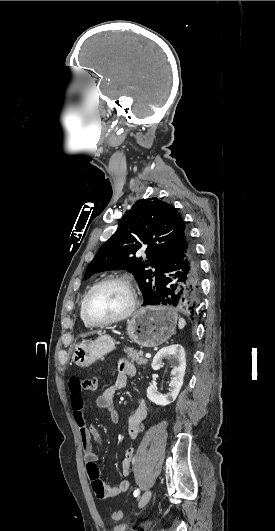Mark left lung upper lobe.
I'll list each match as a JSON object with an SVG mask.
<instances>
[{
  "label": "left lung upper lobe",
  "mask_w": 275,
  "mask_h": 531,
  "mask_svg": "<svg viewBox=\"0 0 275 531\" xmlns=\"http://www.w3.org/2000/svg\"><path fill=\"white\" fill-rule=\"evenodd\" d=\"M185 231V223L172 205L156 197L138 200L88 265L84 279L97 272L126 268L135 274L144 305L153 304L165 285L168 262ZM141 249H145L147 260L136 258ZM149 266L155 270H146Z\"/></svg>",
  "instance_id": "obj_1"
}]
</instances>
